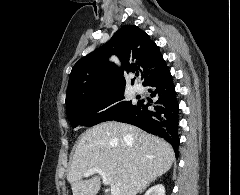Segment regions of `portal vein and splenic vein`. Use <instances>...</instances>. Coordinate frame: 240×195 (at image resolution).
I'll use <instances>...</instances> for the list:
<instances>
[{
  "mask_svg": "<svg viewBox=\"0 0 240 195\" xmlns=\"http://www.w3.org/2000/svg\"><path fill=\"white\" fill-rule=\"evenodd\" d=\"M93 173H100V175H103L101 167H91V169H88L86 173H84V177H89V175H93ZM103 183L107 185L109 181H107L106 177H102ZM121 191L119 189V185H112L111 187V195H120Z\"/></svg>",
  "mask_w": 240,
  "mask_h": 195,
  "instance_id": "portal-vein-and-splenic-vein-1",
  "label": "portal vein and splenic vein"
}]
</instances>
